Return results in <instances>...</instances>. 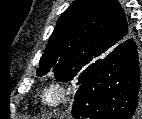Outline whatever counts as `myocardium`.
<instances>
[{"instance_id":"1","label":"myocardium","mask_w":142,"mask_h":119,"mask_svg":"<svg viewBox=\"0 0 142 119\" xmlns=\"http://www.w3.org/2000/svg\"><path fill=\"white\" fill-rule=\"evenodd\" d=\"M69 98V90L62 82L54 81L50 83L42 93V102L49 108L63 106Z\"/></svg>"}]
</instances>
